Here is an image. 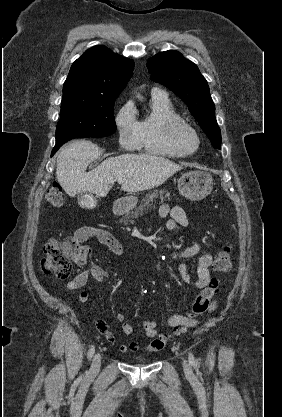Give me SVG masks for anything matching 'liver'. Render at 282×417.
Masks as SVG:
<instances>
[{
  "instance_id": "1",
  "label": "liver",
  "mask_w": 282,
  "mask_h": 417,
  "mask_svg": "<svg viewBox=\"0 0 282 417\" xmlns=\"http://www.w3.org/2000/svg\"><path fill=\"white\" fill-rule=\"evenodd\" d=\"M100 150L91 140L69 142L56 160V178L69 196L88 190L98 196H106L118 178H124L122 190L138 192L163 184L169 176L181 170V164L165 156L152 154H120L109 156L93 170L86 172Z\"/></svg>"
}]
</instances>
